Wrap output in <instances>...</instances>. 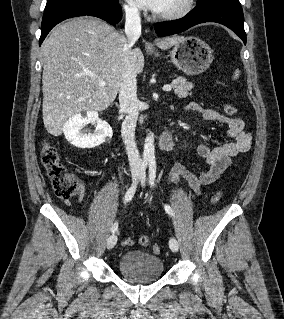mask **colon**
I'll use <instances>...</instances> for the list:
<instances>
[{"mask_svg":"<svg viewBox=\"0 0 284 319\" xmlns=\"http://www.w3.org/2000/svg\"><path fill=\"white\" fill-rule=\"evenodd\" d=\"M224 112L227 115L236 113V108L231 104L224 105ZM41 161L45 167L48 176L50 177L53 190L55 194L61 199H70L76 196L81 190V182L77 176L67 171L66 167L61 162V158L56 147L50 142H44L41 147ZM222 197V191H216L212 198L211 203L216 204ZM123 246H131L133 240L127 238L122 242ZM139 244L142 246H151L155 254L161 252V248L157 244H151L148 236L143 235L139 238Z\"/></svg>","mask_w":284,"mask_h":319,"instance_id":"colon-1","label":"colon"}]
</instances>
